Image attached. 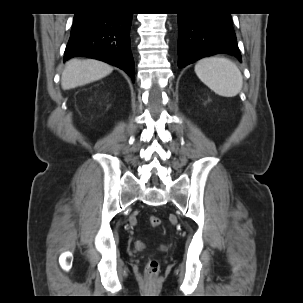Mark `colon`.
Returning a JSON list of instances; mask_svg holds the SVG:
<instances>
[{
  "instance_id": "obj_1",
  "label": "colon",
  "mask_w": 303,
  "mask_h": 303,
  "mask_svg": "<svg viewBox=\"0 0 303 303\" xmlns=\"http://www.w3.org/2000/svg\"><path fill=\"white\" fill-rule=\"evenodd\" d=\"M149 223L152 227H157L161 224V220L158 216H151ZM159 272V263L155 259H151L146 266V273L149 277H155Z\"/></svg>"
}]
</instances>
